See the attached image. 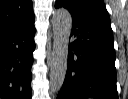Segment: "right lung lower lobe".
Wrapping results in <instances>:
<instances>
[{
    "label": "right lung lower lobe",
    "mask_w": 128,
    "mask_h": 99,
    "mask_svg": "<svg viewBox=\"0 0 128 99\" xmlns=\"http://www.w3.org/2000/svg\"><path fill=\"white\" fill-rule=\"evenodd\" d=\"M34 13L0 31V98L31 99Z\"/></svg>",
    "instance_id": "98d812e1"
}]
</instances>
